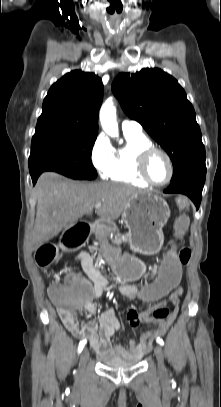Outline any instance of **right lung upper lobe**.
Here are the masks:
<instances>
[{
  "mask_svg": "<svg viewBox=\"0 0 221 407\" xmlns=\"http://www.w3.org/2000/svg\"><path fill=\"white\" fill-rule=\"evenodd\" d=\"M102 99L103 85L98 76L80 70L67 73L48 91L36 132L63 130L97 136Z\"/></svg>",
  "mask_w": 221,
  "mask_h": 407,
  "instance_id": "cb5924a9",
  "label": "right lung upper lobe"
}]
</instances>
